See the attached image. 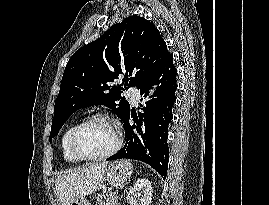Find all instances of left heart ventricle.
<instances>
[{"instance_id": "left-heart-ventricle-1", "label": "left heart ventricle", "mask_w": 269, "mask_h": 205, "mask_svg": "<svg viewBox=\"0 0 269 205\" xmlns=\"http://www.w3.org/2000/svg\"><path fill=\"white\" fill-rule=\"evenodd\" d=\"M115 137L111 126L104 121L86 125L78 134L77 148L86 156L100 155L112 148Z\"/></svg>"}]
</instances>
